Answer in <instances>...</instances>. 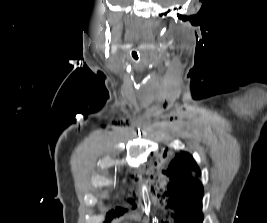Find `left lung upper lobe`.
<instances>
[{"instance_id":"1","label":"left lung upper lobe","mask_w":267,"mask_h":223,"mask_svg":"<svg viewBox=\"0 0 267 223\" xmlns=\"http://www.w3.org/2000/svg\"><path fill=\"white\" fill-rule=\"evenodd\" d=\"M193 172L201 174L195 160L187 152L177 154L167 171H163L169 178L167 195H170V199L168 206H164L162 209V214H178L179 218L183 217L186 223L188 222L185 217L189 214L190 217H197L199 223L202 222L204 190L200 180L193 178Z\"/></svg>"}]
</instances>
